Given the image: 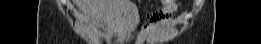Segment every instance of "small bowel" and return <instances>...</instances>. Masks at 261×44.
Returning <instances> with one entry per match:
<instances>
[{"instance_id":"small-bowel-1","label":"small bowel","mask_w":261,"mask_h":44,"mask_svg":"<svg viewBox=\"0 0 261 44\" xmlns=\"http://www.w3.org/2000/svg\"><path fill=\"white\" fill-rule=\"evenodd\" d=\"M176 6L170 4L169 6H164L163 9L154 15L152 25L156 26L160 22L168 21L171 14L176 10Z\"/></svg>"}]
</instances>
